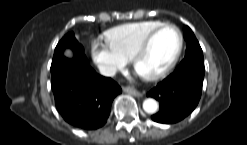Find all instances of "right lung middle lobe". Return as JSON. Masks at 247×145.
Listing matches in <instances>:
<instances>
[{
    "mask_svg": "<svg viewBox=\"0 0 247 145\" xmlns=\"http://www.w3.org/2000/svg\"><path fill=\"white\" fill-rule=\"evenodd\" d=\"M66 47L71 48L74 53L83 52V47L77 42L74 34L70 32L66 34L57 44L54 51L53 60L61 58L63 56L62 52Z\"/></svg>",
    "mask_w": 247,
    "mask_h": 145,
    "instance_id": "obj_1",
    "label": "right lung middle lobe"
}]
</instances>
